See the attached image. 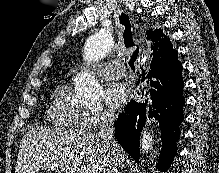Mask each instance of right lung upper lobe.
I'll return each mask as SVG.
<instances>
[{"label": "right lung upper lobe", "mask_w": 219, "mask_h": 173, "mask_svg": "<svg viewBox=\"0 0 219 173\" xmlns=\"http://www.w3.org/2000/svg\"><path fill=\"white\" fill-rule=\"evenodd\" d=\"M148 39H151L154 42V45L151 46L153 50V63L159 60L160 57H165L166 55H171L176 52L172 49V44L167 37L163 35L161 30L147 31Z\"/></svg>", "instance_id": "right-lung-upper-lobe-1"}]
</instances>
